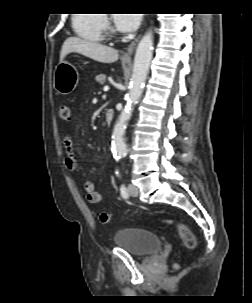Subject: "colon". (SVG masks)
I'll use <instances>...</instances> for the list:
<instances>
[{"label": "colon", "mask_w": 252, "mask_h": 303, "mask_svg": "<svg viewBox=\"0 0 252 303\" xmlns=\"http://www.w3.org/2000/svg\"><path fill=\"white\" fill-rule=\"evenodd\" d=\"M59 116L63 121L70 120L71 112L70 107L68 105H61L59 108ZM111 215L106 212H101L99 214V220L102 224H108L110 222ZM164 223L172 224L173 220L165 219ZM177 230L179 236L182 239L183 245L187 249H194L197 245V239L195 235L191 232V230L184 224L178 223Z\"/></svg>", "instance_id": "obj_1"}]
</instances>
